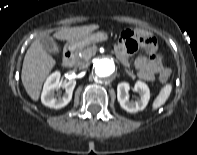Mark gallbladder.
Returning <instances> with one entry per match:
<instances>
[{"mask_svg":"<svg viewBox=\"0 0 197 155\" xmlns=\"http://www.w3.org/2000/svg\"><path fill=\"white\" fill-rule=\"evenodd\" d=\"M41 44L44 48V50L50 54H58L59 53V47L56 44V42L53 40L52 37H49L47 35L41 37Z\"/></svg>","mask_w":197,"mask_h":155,"instance_id":"1","label":"gallbladder"}]
</instances>
